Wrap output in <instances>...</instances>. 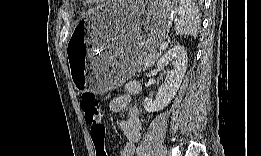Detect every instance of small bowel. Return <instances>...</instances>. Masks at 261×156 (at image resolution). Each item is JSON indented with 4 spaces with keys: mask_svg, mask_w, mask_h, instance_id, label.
<instances>
[{
    "mask_svg": "<svg viewBox=\"0 0 261 156\" xmlns=\"http://www.w3.org/2000/svg\"><path fill=\"white\" fill-rule=\"evenodd\" d=\"M141 92V85L138 82L131 81L126 84V92L124 95L113 98L109 103V110L115 113L128 109V117L121 122L120 129L126 138V144L119 151L120 156H133L135 154L136 145L141 138V121L139 119V109L136 105L131 104L134 96ZM97 154V152H96ZM107 156L106 152L104 155Z\"/></svg>",
    "mask_w": 261,
    "mask_h": 156,
    "instance_id": "small-bowel-1",
    "label": "small bowel"
}]
</instances>
